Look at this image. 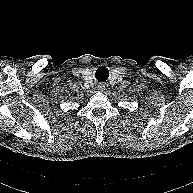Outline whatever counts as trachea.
<instances>
[{
	"instance_id": "3493384b",
	"label": "trachea",
	"mask_w": 193,
	"mask_h": 193,
	"mask_svg": "<svg viewBox=\"0 0 193 193\" xmlns=\"http://www.w3.org/2000/svg\"><path fill=\"white\" fill-rule=\"evenodd\" d=\"M109 76V71L106 67H99L95 73V77L98 81H106Z\"/></svg>"
}]
</instances>
